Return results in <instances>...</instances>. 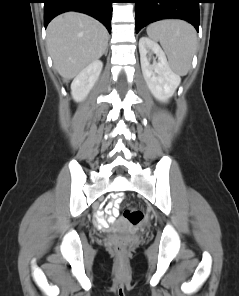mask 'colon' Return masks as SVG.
<instances>
[{
	"label": "colon",
	"mask_w": 239,
	"mask_h": 296,
	"mask_svg": "<svg viewBox=\"0 0 239 296\" xmlns=\"http://www.w3.org/2000/svg\"><path fill=\"white\" fill-rule=\"evenodd\" d=\"M119 201L124 199V196H119ZM124 217L131 225H138L144 219V213L142 210L128 206L124 209ZM112 250L119 255H123L127 252V244L125 240H116L112 244Z\"/></svg>",
	"instance_id": "1"
}]
</instances>
